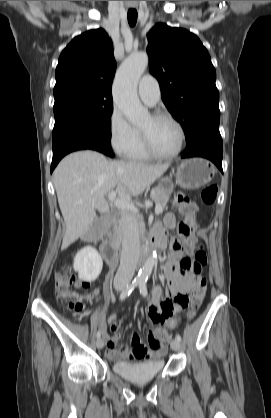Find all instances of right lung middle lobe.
<instances>
[{
	"mask_svg": "<svg viewBox=\"0 0 271 418\" xmlns=\"http://www.w3.org/2000/svg\"><path fill=\"white\" fill-rule=\"evenodd\" d=\"M53 110L55 116L53 142L91 131H103L110 135L112 99L67 98L55 101Z\"/></svg>",
	"mask_w": 271,
	"mask_h": 418,
	"instance_id": "1",
	"label": "right lung middle lobe"
}]
</instances>
